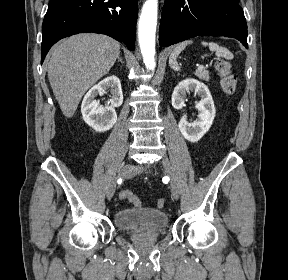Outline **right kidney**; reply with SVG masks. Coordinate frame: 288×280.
I'll list each match as a JSON object with an SVG mask.
<instances>
[{
  "mask_svg": "<svg viewBox=\"0 0 288 280\" xmlns=\"http://www.w3.org/2000/svg\"><path fill=\"white\" fill-rule=\"evenodd\" d=\"M109 91L110 106L103 107L95 100L98 94ZM123 103V93L121 82L118 77L110 76L97 85L93 86L84 96L81 105V112L85 123L92 127L96 132L110 130L117 121L115 108Z\"/></svg>",
  "mask_w": 288,
  "mask_h": 280,
  "instance_id": "1",
  "label": "right kidney"
}]
</instances>
